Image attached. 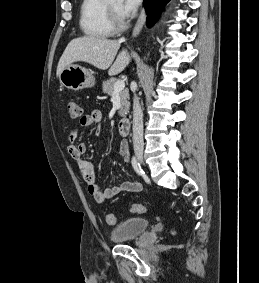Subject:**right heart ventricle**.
<instances>
[{
	"instance_id": "1",
	"label": "right heart ventricle",
	"mask_w": 259,
	"mask_h": 283,
	"mask_svg": "<svg viewBox=\"0 0 259 283\" xmlns=\"http://www.w3.org/2000/svg\"><path fill=\"white\" fill-rule=\"evenodd\" d=\"M80 27L83 33L95 39H104L115 33L106 0H83L80 9Z\"/></svg>"
}]
</instances>
